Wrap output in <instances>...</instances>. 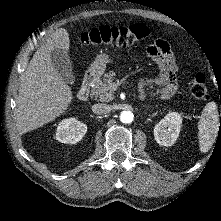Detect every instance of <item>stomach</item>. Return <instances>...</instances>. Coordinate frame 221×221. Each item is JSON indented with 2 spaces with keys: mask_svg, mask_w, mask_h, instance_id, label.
<instances>
[{
  "mask_svg": "<svg viewBox=\"0 0 221 221\" xmlns=\"http://www.w3.org/2000/svg\"><path fill=\"white\" fill-rule=\"evenodd\" d=\"M110 61L111 59L108 55L106 54L98 55L95 61L89 67L88 69L89 73L96 77L101 76L106 69V64Z\"/></svg>",
  "mask_w": 221,
  "mask_h": 221,
  "instance_id": "obj_1",
  "label": "stomach"
}]
</instances>
